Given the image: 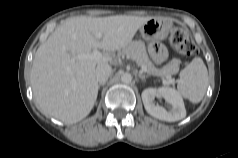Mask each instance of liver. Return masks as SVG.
<instances>
[{
    "instance_id": "obj_1",
    "label": "liver",
    "mask_w": 238,
    "mask_h": 158,
    "mask_svg": "<svg viewBox=\"0 0 238 158\" xmlns=\"http://www.w3.org/2000/svg\"><path fill=\"white\" fill-rule=\"evenodd\" d=\"M152 17L116 15L72 17L64 21L37 49L31 69L33 95L40 110L73 124L92 110L98 95L95 67L112 61L109 55L79 59L92 49L116 51L126 47ZM97 33L102 38L96 37Z\"/></svg>"
}]
</instances>
